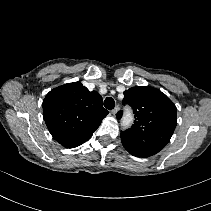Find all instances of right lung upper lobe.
<instances>
[{
    "label": "right lung upper lobe",
    "mask_w": 211,
    "mask_h": 211,
    "mask_svg": "<svg viewBox=\"0 0 211 211\" xmlns=\"http://www.w3.org/2000/svg\"><path fill=\"white\" fill-rule=\"evenodd\" d=\"M108 114L102 97L80 82L52 89L43 101V117L52 137L66 148L87 141Z\"/></svg>",
    "instance_id": "cb5924a9"
}]
</instances>
